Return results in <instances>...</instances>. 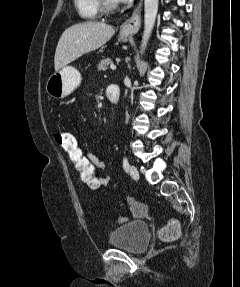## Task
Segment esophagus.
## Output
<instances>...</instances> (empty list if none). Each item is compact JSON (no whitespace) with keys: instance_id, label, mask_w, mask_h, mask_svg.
Wrapping results in <instances>:
<instances>
[{"instance_id":"34e87169","label":"esophagus","mask_w":240,"mask_h":287,"mask_svg":"<svg viewBox=\"0 0 240 287\" xmlns=\"http://www.w3.org/2000/svg\"><path fill=\"white\" fill-rule=\"evenodd\" d=\"M141 7L142 2L140 1L137 7L134 9L131 17L121 25V34L132 36L138 32L141 24Z\"/></svg>"}]
</instances>
